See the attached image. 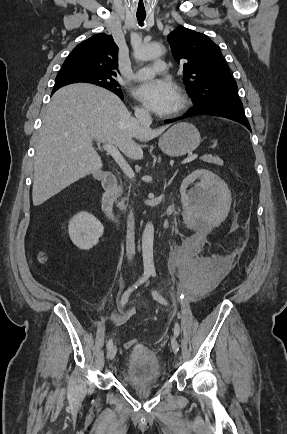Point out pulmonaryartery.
Masks as SVG:
<instances>
[{"instance_id": "pulmonary-artery-1", "label": "pulmonary artery", "mask_w": 287, "mask_h": 434, "mask_svg": "<svg viewBox=\"0 0 287 434\" xmlns=\"http://www.w3.org/2000/svg\"><path fill=\"white\" fill-rule=\"evenodd\" d=\"M166 63L164 61H154L151 66L143 67L137 70L134 74L136 80H144L152 77L155 74H165Z\"/></svg>"}]
</instances>
